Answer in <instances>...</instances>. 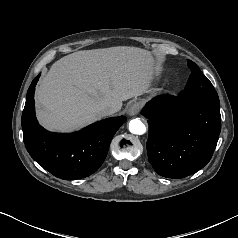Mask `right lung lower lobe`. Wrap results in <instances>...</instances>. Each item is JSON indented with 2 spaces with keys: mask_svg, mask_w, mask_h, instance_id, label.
<instances>
[{
  "mask_svg": "<svg viewBox=\"0 0 238 238\" xmlns=\"http://www.w3.org/2000/svg\"><path fill=\"white\" fill-rule=\"evenodd\" d=\"M31 83L22 113L23 139L30 156L43 168L61 179H80L94 173L104 162L111 139L126 117L96 122L69 134L52 133L42 128L35 117L34 91Z\"/></svg>",
  "mask_w": 238,
  "mask_h": 238,
  "instance_id": "98d812e1",
  "label": "right lung lower lobe"
}]
</instances>
